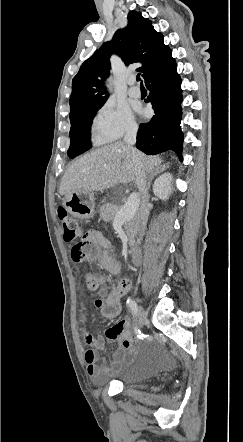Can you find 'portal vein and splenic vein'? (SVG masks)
Instances as JSON below:
<instances>
[{"mask_svg":"<svg viewBox=\"0 0 243 442\" xmlns=\"http://www.w3.org/2000/svg\"><path fill=\"white\" fill-rule=\"evenodd\" d=\"M137 210L136 197L132 195L127 203L115 215L114 221L121 222L132 218Z\"/></svg>","mask_w":243,"mask_h":442,"instance_id":"obj_1","label":"portal vein and splenic vein"}]
</instances>
